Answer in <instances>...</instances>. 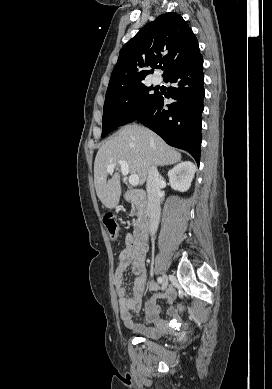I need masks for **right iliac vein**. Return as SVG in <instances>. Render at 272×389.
Segmentation results:
<instances>
[{
	"instance_id": "63e3f726",
	"label": "right iliac vein",
	"mask_w": 272,
	"mask_h": 389,
	"mask_svg": "<svg viewBox=\"0 0 272 389\" xmlns=\"http://www.w3.org/2000/svg\"><path fill=\"white\" fill-rule=\"evenodd\" d=\"M162 286L163 289H166L168 286V276L165 274L162 276Z\"/></svg>"
}]
</instances>
